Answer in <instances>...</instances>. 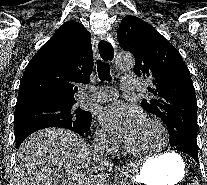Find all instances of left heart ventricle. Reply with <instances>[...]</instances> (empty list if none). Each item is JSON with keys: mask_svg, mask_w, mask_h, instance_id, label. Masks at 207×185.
Here are the masks:
<instances>
[{"mask_svg": "<svg viewBox=\"0 0 207 185\" xmlns=\"http://www.w3.org/2000/svg\"><path fill=\"white\" fill-rule=\"evenodd\" d=\"M127 140L131 148L139 151H152L164 143L157 126L145 120L127 137Z\"/></svg>", "mask_w": 207, "mask_h": 185, "instance_id": "1", "label": "left heart ventricle"}]
</instances>
